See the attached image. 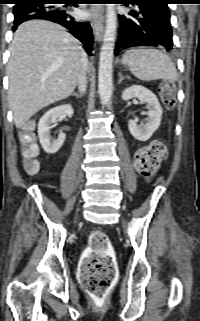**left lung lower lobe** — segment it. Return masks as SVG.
<instances>
[{
  "label": "left lung lower lobe",
  "mask_w": 200,
  "mask_h": 321,
  "mask_svg": "<svg viewBox=\"0 0 200 321\" xmlns=\"http://www.w3.org/2000/svg\"><path fill=\"white\" fill-rule=\"evenodd\" d=\"M173 0H124V5H134L125 15H120V27L115 54L136 46H160L172 50V28L168 4Z\"/></svg>",
  "instance_id": "0a47b994"
}]
</instances>
